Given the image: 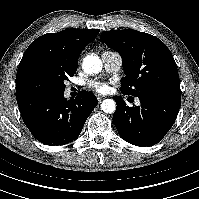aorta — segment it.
I'll return each mask as SVG.
<instances>
[{
  "label": "aorta",
  "instance_id": "obj_1",
  "mask_svg": "<svg viewBox=\"0 0 199 199\" xmlns=\"http://www.w3.org/2000/svg\"><path fill=\"white\" fill-rule=\"evenodd\" d=\"M83 70L88 74H97L102 70V61L94 54L88 55L82 62ZM101 109L105 113H113L116 110V103L113 99H105L101 103Z\"/></svg>",
  "mask_w": 199,
  "mask_h": 199
}]
</instances>
